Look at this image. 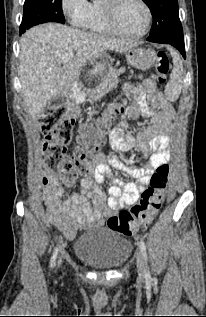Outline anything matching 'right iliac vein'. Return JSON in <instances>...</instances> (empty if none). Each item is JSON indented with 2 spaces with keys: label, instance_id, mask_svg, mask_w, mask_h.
Masks as SVG:
<instances>
[{
  "label": "right iliac vein",
  "instance_id": "obj_1",
  "mask_svg": "<svg viewBox=\"0 0 206 317\" xmlns=\"http://www.w3.org/2000/svg\"><path fill=\"white\" fill-rule=\"evenodd\" d=\"M62 263V260L60 259L59 262H58V266H60Z\"/></svg>",
  "mask_w": 206,
  "mask_h": 317
}]
</instances>
